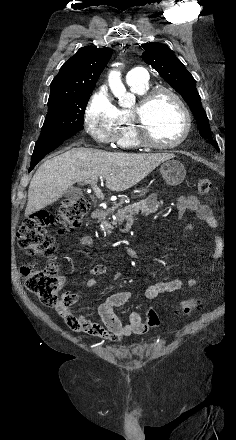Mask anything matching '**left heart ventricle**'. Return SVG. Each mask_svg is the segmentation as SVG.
<instances>
[{
    "label": "left heart ventricle",
    "mask_w": 236,
    "mask_h": 440,
    "mask_svg": "<svg viewBox=\"0 0 236 440\" xmlns=\"http://www.w3.org/2000/svg\"><path fill=\"white\" fill-rule=\"evenodd\" d=\"M150 136L158 143L177 140L184 130V117L176 101L169 95L158 96L146 113Z\"/></svg>",
    "instance_id": "1"
}]
</instances>
